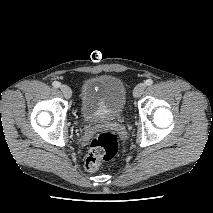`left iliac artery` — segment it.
<instances>
[{
    "mask_svg": "<svg viewBox=\"0 0 213 213\" xmlns=\"http://www.w3.org/2000/svg\"><path fill=\"white\" fill-rule=\"evenodd\" d=\"M145 84H146L147 86H151V85L153 84V80H152V79H147V80L145 81Z\"/></svg>",
    "mask_w": 213,
    "mask_h": 213,
    "instance_id": "obj_1",
    "label": "left iliac artery"
}]
</instances>
